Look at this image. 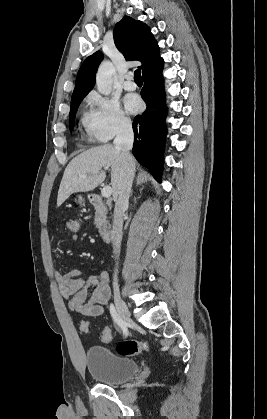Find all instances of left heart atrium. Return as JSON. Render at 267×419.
I'll return each mask as SVG.
<instances>
[{"label": "left heart atrium", "instance_id": "left-heart-atrium-1", "mask_svg": "<svg viewBox=\"0 0 267 419\" xmlns=\"http://www.w3.org/2000/svg\"><path fill=\"white\" fill-rule=\"evenodd\" d=\"M125 107L130 113H137L142 106L140 98L135 94H129L124 100Z\"/></svg>", "mask_w": 267, "mask_h": 419}]
</instances>
